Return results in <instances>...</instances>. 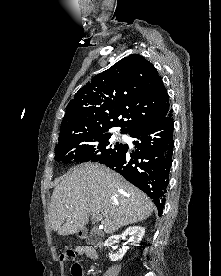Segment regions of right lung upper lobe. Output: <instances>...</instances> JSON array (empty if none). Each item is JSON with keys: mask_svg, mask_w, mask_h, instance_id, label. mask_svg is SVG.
Returning <instances> with one entry per match:
<instances>
[{"mask_svg": "<svg viewBox=\"0 0 221 276\" xmlns=\"http://www.w3.org/2000/svg\"><path fill=\"white\" fill-rule=\"evenodd\" d=\"M168 97L154 65L138 54L129 55L75 94L67 105L59 142L114 126L130 134L165 115L170 110Z\"/></svg>", "mask_w": 221, "mask_h": 276, "instance_id": "obj_1", "label": "right lung upper lobe"}]
</instances>
